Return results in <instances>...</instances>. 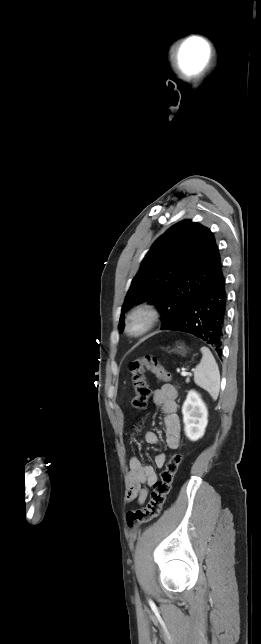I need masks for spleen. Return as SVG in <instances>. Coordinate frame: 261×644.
I'll use <instances>...</instances> for the list:
<instances>
[{
	"mask_svg": "<svg viewBox=\"0 0 261 644\" xmlns=\"http://www.w3.org/2000/svg\"><path fill=\"white\" fill-rule=\"evenodd\" d=\"M202 359L194 370V382L206 390L215 400L220 391V373L218 365L207 347L200 349Z\"/></svg>",
	"mask_w": 261,
	"mask_h": 644,
	"instance_id": "3e777b00",
	"label": "spleen"
}]
</instances>
